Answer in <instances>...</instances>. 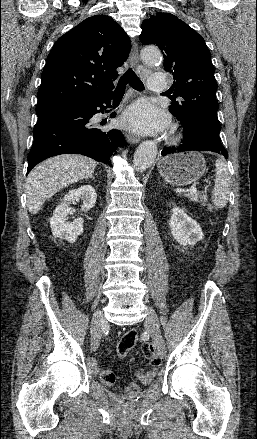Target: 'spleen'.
Wrapping results in <instances>:
<instances>
[{
  "label": "spleen",
  "mask_w": 257,
  "mask_h": 439,
  "mask_svg": "<svg viewBox=\"0 0 257 439\" xmlns=\"http://www.w3.org/2000/svg\"><path fill=\"white\" fill-rule=\"evenodd\" d=\"M215 185L212 191V201L215 209L224 208L229 199L230 174L225 161L217 159Z\"/></svg>",
  "instance_id": "spleen-1"
}]
</instances>
